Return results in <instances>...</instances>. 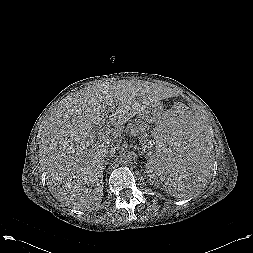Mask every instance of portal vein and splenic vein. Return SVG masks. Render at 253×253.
Here are the masks:
<instances>
[{"mask_svg":"<svg viewBox=\"0 0 253 253\" xmlns=\"http://www.w3.org/2000/svg\"><path fill=\"white\" fill-rule=\"evenodd\" d=\"M100 133H101V137H103V138H109L110 135L117 137V134H115V133L111 134L109 128H107L104 132H100ZM144 147H145V149L149 148V146H147V145H144Z\"/></svg>","mask_w":253,"mask_h":253,"instance_id":"1","label":"portal vein and splenic vein"}]
</instances>
